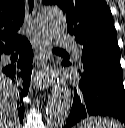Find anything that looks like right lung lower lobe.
<instances>
[{
	"label": "right lung lower lobe",
	"mask_w": 125,
	"mask_h": 128,
	"mask_svg": "<svg viewBox=\"0 0 125 128\" xmlns=\"http://www.w3.org/2000/svg\"><path fill=\"white\" fill-rule=\"evenodd\" d=\"M17 49L20 50V57L18 63L16 65H8L3 68L1 67V72L8 76L13 81V83H16L15 78H17L18 76H21L23 79L22 86H18L20 98V101H18V115L20 122H22L24 117L22 98L28 93L30 76L32 72V47L28 40L24 38L14 46L2 49L0 51V60L1 54H10Z\"/></svg>",
	"instance_id": "obj_1"
}]
</instances>
